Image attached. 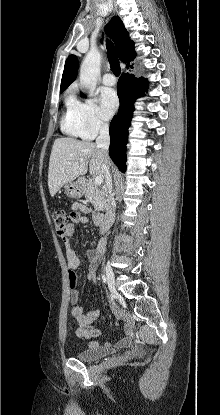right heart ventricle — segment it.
<instances>
[{"mask_svg":"<svg viewBox=\"0 0 220 415\" xmlns=\"http://www.w3.org/2000/svg\"><path fill=\"white\" fill-rule=\"evenodd\" d=\"M79 101L72 93L65 98V110L61 119V130L70 136L83 137L78 113Z\"/></svg>","mask_w":220,"mask_h":415,"instance_id":"right-heart-ventricle-1","label":"right heart ventricle"}]
</instances>
